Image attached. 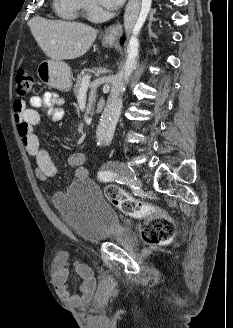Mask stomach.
I'll return each mask as SVG.
<instances>
[{
	"label": "stomach",
	"mask_w": 233,
	"mask_h": 328,
	"mask_svg": "<svg viewBox=\"0 0 233 328\" xmlns=\"http://www.w3.org/2000/svg\"><path fill=\"white\" fill-rule=\"evenodd\" d=\"M113 38H104L103 44L113 46ZM39 79L46 85L61 91H69L71 88V70L67 63L56 60H44L37 68Z\"/></svg>",
	"instance_id": "obj_1"
}]
</instances>
